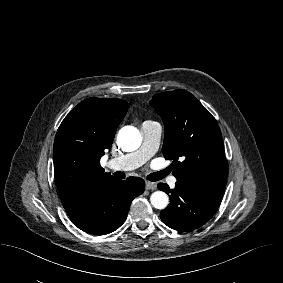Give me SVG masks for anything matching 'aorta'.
I'll return each mask as SVG.
<instances>
[{"instance_id":"obj_1","label":"aorta","mask_w":283,"mask_h":283,"mask_svg":"<svg viewBox=\"0 0 283 283\" xmlns=\"http://www.w3.org/2000/svg\"><path fill=\"white\" fill-rule=\"evenodd\" d=\"M117 142L123 151L132 152L140 147L142 136L136 127L124 126L118 132ZM150 202L154 208L162 210L167 207L169 197L163 191H155L150 196Z\"/></svg>"}]
</instances>
